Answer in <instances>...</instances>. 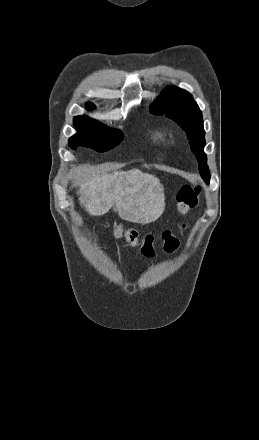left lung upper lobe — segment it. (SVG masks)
Listing matches in <instances>:
<instances>
[{"label":"left lung upper lobe","mask_w":259,"mask_h":440,"mask_svg":"<svg viewBox=\"0 0 259 440\" xmlns=\"http://www.w3.org/2000/svg\"><path fill=\"white\" fill-rule=\"evenodd\" d=\"M150 110L157 115L166 114L167 117L177 122L186 131L191 150L199 163L201 177L206 183H209L210 173L207 158L203 151L205 131L202 113L192 95L180 88H168L152 104Z\"/></svg>","instance_id":"1"}]
</instances>
